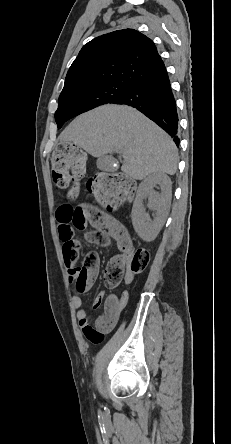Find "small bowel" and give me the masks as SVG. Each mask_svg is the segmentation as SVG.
Returning <instances> with one entry per match:
<instances>
[{"instance_id":"small-bowel-1","label":"small bowel","mask_w":231,"mask_h":444,"mask_svg":"<svg viewBox=\"0 0 231 444\" xmlns=\"http://www.w3.org/2000/svg\"><path fill=\"white\" fill-rule=\"evenodd\" d=\"M70 204H61L56 211V219L58 222L59 237L63 242V254L67 250H74L78 253L80 241L74 237V228L71 224L64 220L67 210L71 208ZM84 210H89L91 207L84 205L79 207ZM95 232L86 236V240L101 245H107L110 239L115 240L120 249L131 250L132 242L128 231L122 223L114 217L101 213L100 218L93 224ZM69 280L75 283L77 275V268L74 265L68 267ZM133 274L128 272L125 278V283L132 281ZM129 294L123 291L120 296L114 294L106 295L105 292L99 293L93 302V309H97L104 304V312L99 316L94 324H91L88 311L82 306V301L79 296H74L72 299V306L75 310L76 317L85 338L92 343H99L102 341L104 334L110 332L117 324L121 312L127 305Z\"/></svg>"}]
</instances>
